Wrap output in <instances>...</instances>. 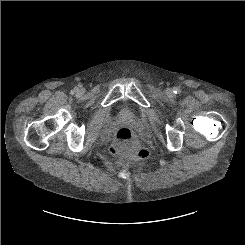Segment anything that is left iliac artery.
I'll return each mask as SVG.
<instances>
[{
	"label": "left iliac artery",
	"mask_w": 245,
	"mask_h": 245,
	"mask_svg": "<svg viewBox=\"0 0 245 245\" xmlns=\"http://www.w3.org/2000/svg\"><path fill=\"white\" fill-rule=\"evenodd\" d=\"M174 93H178L179 92V89L178 88H174Z\"/></svg>",
	"instance_id": "obj_1"
}]
</instances>
